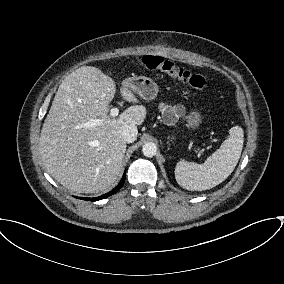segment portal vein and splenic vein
I'll return each mask as SVG.
<instances>
[{
    "label": "portal vein and splenic vein",
    "mask_w": 284,
    "mask_h": 284,
    "mask_svg": "<svg viewBox=\"0 0 284 284\" xmlns=\"http://www.w3.org/2000/svg\"><path fill=\"white\" fill-rule=\"evenodd\" d=\"M119 114V109L118 108H112L110 110V117H116ZM99 124V120L94 121L93 123H91V125H96Z\"/></svg>",
    "instance_id": "1"
}]
</instances>
